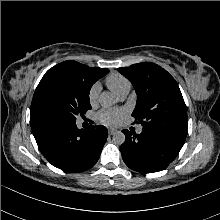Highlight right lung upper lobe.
I'll return each mask as SVG.
<instances>
[{
    "mask_svg": "<svg viewBox=\"0 0 220 220\" xmlns=\"http://www.w3.org/2000/svg\"><path fill=\"white\" fill-rule=\"evenodd\" d=\"M63 63H78V62L70 60V61H65ZM94 68L101 74L102 77L105 76L109 71L107 68H98V67H94ZM33 116L34 115H31V117Z\"/></svg>",
    "mask_w": 220,
    "mask_h": 220,
    "instance_id": "right-lung-upper-lobe-1",
    "label": "right lung upper lobe"
}]
</instances>
